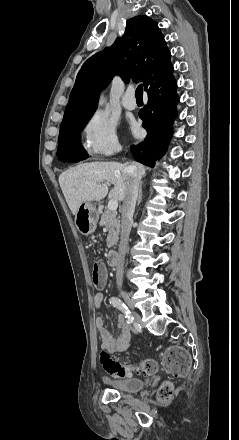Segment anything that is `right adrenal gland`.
I'll list each match as a JSON object with an SVG mask.
<instances>
[{
	"label": "right adrenal gland",
	"instance_id": "2a0ac1e0",
	"mask_svg": "<svg viewBox=\"0 0 239 440\" xmlns=\"http://www.w3.org/2000/svg\"><path fill=\"white\" fill-rule=\"evenodd\" d=\"M141 200H142V182H140V186H139V194H138L137 206H139Z\"/></svg>",
	"mask_w": 239,
	"mask_h": 440
}]
</instances>
